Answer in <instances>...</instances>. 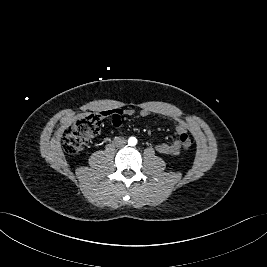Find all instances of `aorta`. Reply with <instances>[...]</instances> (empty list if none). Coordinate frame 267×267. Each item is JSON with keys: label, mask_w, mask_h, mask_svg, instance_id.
I'll use <instances>...</instances> for the list:
<instances>
[{"label": "aorta", "mask_w": 267, "mask_h": 267, "mask_svg": "<svg viewBox=\"0 0 267 267\" xmlns=\"http://www.w3.org/2000/svg\"><path fill=\"white\" fill-rule=\"evenodd\" d=\"M128 144H129L130 146H135V145L137 144V139H136L135 137H130V138L128 139Z\"/></svg>", "instance_id": "obj_1"}]
</instances>
